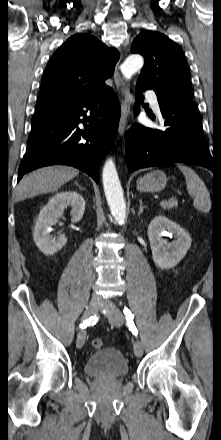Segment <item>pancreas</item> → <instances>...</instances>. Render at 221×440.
<instances>
[{
	"instance_id": "obj_1",
	"label": "pancreas",
	"mask_w": 221,
	"mask_h": 440,
	"mask_svg": "<svg viewBox=\"0 0 221 440\" xmlns=\"http://www.w3.org/2000/svg\"><path fill=\"white\" fill-rule=\"evenodd\" d=\"M161 207H162L164 210H171V209H173V208H177V207H178V203H177L176 199H171V200H168V201H166L165 203H163V204L161 205Z\"/></svg>"
}]
</instances>
